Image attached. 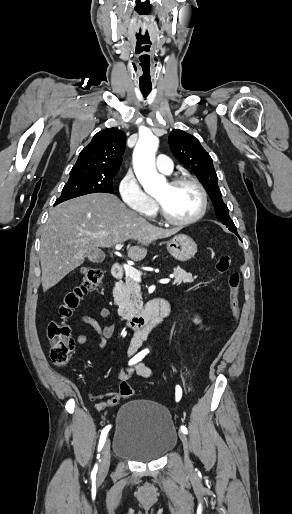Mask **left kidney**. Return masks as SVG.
Listing matches in <instances>:
<instances>
[{"mask_svg": "<svg viewBox=\"0 0 292 514\" xmlns=\"http://www.w3.org/2000/svg\"><path fill=\"white\" fill-rule=\"evenodd\" d=\"M195 322H197V324H198V320H195Z\"/></svg>", "mask_w": 292, "mask_h": 514, "instance_id": "obj_1", "label": "left kidney"}]
</instances>
